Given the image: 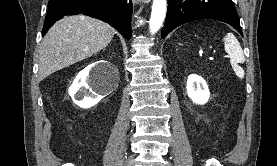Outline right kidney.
Returning <instances> with one entry per match:
<instances>
[{
	"label": "right kidney",
	"mask_w": 277,
	"mask_h": 166,
	"mask_svg": "<svg viewBox=\"0 0 277 166\" xmlns=\"http://www.w3.org/2000/svg\"><path fill=\"white\" fill-rule=\"evenodd\" d=\"M108 64L107 61H99L97 65H90L82 70L73 81L69 88V95L73 102L81 108H90L96 105L103 96L94 92L92 88H99V86L92 79L97 66ZM109 77H107L108 79ZM111 86H116L113 83Z\"/></svg>",
	"instance_id": "ca27d5eb"
}]
</instances>
